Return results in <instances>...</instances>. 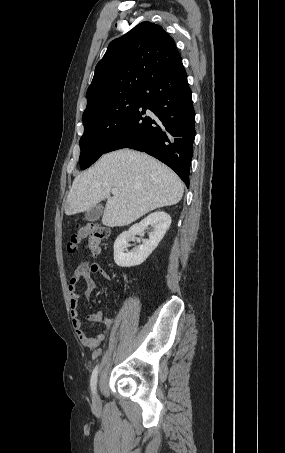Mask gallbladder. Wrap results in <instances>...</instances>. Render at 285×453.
Listing matches in <instances>:
<instances>
[{
    "instance_id": "obj_1",
    "label": "gallbladder",
    "mask_w": 285,
    "mask_h": 453,
    "mask_svg": "<svg viewBox=\"0 0 285 453\" xmlns=\"http://www.w3.org/2000/svg\"><path fill=\"white\" fill-rule=\"evenodd\" d=\"M103 210H104V208L101 205H96V206L92 207L85 213V220H87V221L98 220L100 218V216L102 215Z\"/></svg>"
}]
</instances>
